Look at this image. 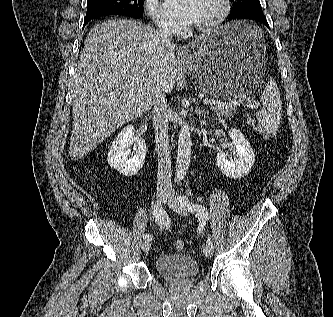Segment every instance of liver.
<instances>
[{
  "mask_svg": "<svg viewBox=\"0 0 333 317\" xmlns=\"http://www.w3.org/2000/svg\"><path fill=\"white\" fill-rule=\"evenodd\" d=\"M204 37L191 44L195 48ZM176 45L135 20L111 19L88 33L73 77L69 156L78 160L125 123L147 113L177 76Z\"/></svg>",
  "mask_w": 333,
  "mask_h": 317,
  "instance_id": "1",
  "label": "liver"
}]
</instances>
